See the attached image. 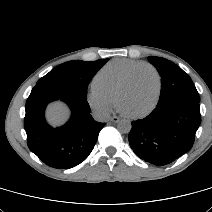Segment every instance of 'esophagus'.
Instances as JSON below:
<instances>
[{"label":"esophagus","mask_w":212,"mask_h":212,"mask_svg":"<svg viewBox=\"0 0 212 212\" xmlns=\"http://www.w3.org/2000/svg\"><path fill=\"white\" fill-rule=\"evenodd\" d=\"M111 121L114 122V123H117V122L120 121V118L117 117V116H113V117L111 118Z\"/></svg>","instance_id":"esophagus-1"}]
</instances>
